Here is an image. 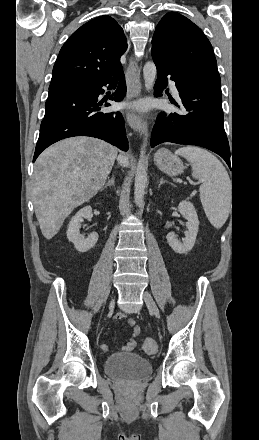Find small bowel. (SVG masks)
Instances as JSON below:
<instances>
[{
  "label": "small bowel",
  "instance_id": "obj_1",
  "mask_svg": "<svg viewBox=\"0 0 259 440\" xmlns=\"http://www.w3.org/2000/svg\"><path fill=\"white\" fill-rule=\"evenodd\" d=\"M123 319H124V314L123 313H119L116 316V318H115L116 321H120V320H123ZM126 325L128 327H133L134 328V333H133L134 336L139 334L140 327L136 324V321L134 319H128L127 322H126ZM134 347H135V341L132 339L125 347H123V350H126V351L132 350ZM101 348L103 350H107V345L106 344H102Z\"/></svg>",
  "mask_w": 259,
  "mask_h": 440
}]
</instances>
